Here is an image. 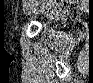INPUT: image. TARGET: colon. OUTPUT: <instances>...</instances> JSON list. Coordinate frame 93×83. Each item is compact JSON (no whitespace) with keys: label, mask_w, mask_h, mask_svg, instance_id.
I'll return each mask as SVG.
<instances>
[{"label":"colon","mask_w":93,"mask_h":83,"mask_svg":"<svg viewBox=\"0 0 93 83\" xmlns=\"http://www.w3.org/2000/svg\"><path fill=\"white\" fill-rule=\"evenodd\" d=\"M50 3H54V4H56V5H58V6H62V5H67V4H70V3H72V2H68V1H64V2H62V1H50Z\"/></svg>","instance_id":"obj_1"}]
</instances>
